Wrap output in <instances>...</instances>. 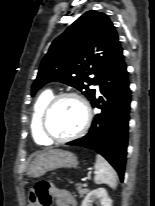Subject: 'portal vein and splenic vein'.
Returning a JSON list of instances; mask_svg holds the SVG:
<instances>
[{"label":"portal vein and splenic vein","mask_w":155,"mask_h":206,"mask_svg":"<svg viewBox=\"0 0 155 206\" xmlns=\"http://www.w3.org/2000/svg\"><path fill=\"white\" fill-rule=\"evenodd\" d=\"M83 186H84V187H86V186H87V184H86V183H84V184H83Z\"/></svg>","instance_id":"1"}]
</instances>
